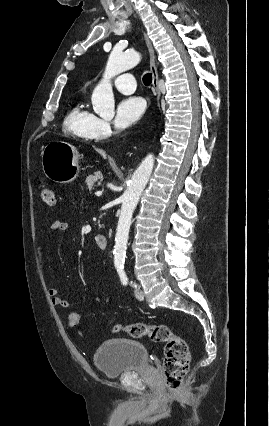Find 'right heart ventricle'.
<instances>
[{
  "mask_svg": "<svg viewBox=\"0 0 269 426\" xmlns=\"http://www.w3.org/2000/svg\"><path fill=\"white\" fill-rule=\"evenodd\" d=\"M97 117L83 102L76 104L67 114L64 127L70 133L87 140H93L94 126Z\"/></svg>",
  "mask_w": 269,
  "mask_h": 426,
  "instance_id": "obj_1",
  "label": "right heart ventricle"
}]
</instances>
